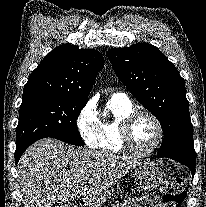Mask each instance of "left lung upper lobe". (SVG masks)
Segmentation results:
<instances>
[{"label":"left lung upper lobe","instance_id":"obj_1","mask_svg":"<svg viewBox=\"0 0 206 207\" xmlns=\"http://www.w3.org/2000/svg\"><path fill=\"white\" fill-rule=\"evenodd\" d=\"M107 56L122 83L160 121L164 141L157 155L195 163L185 82L174 64L147 43L113 48Z\"/></svg>","mask_w":206,"mask_h":207}]
</instances>
